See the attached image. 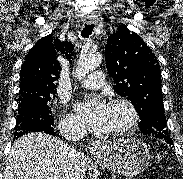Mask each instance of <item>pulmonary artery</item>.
I'll use <instances>...</instances> for the list:
<instances>
[{"instance_id": "e3ab8cb5", "label": "pulmonary artery", "mask_w": 183, "mask_h": 179, "mask_svg": "<svg viewBox=\"0 0 183 179\" xmlns=\"http://www.w3.org/2000/svg\"><path fill=\"white\" fill-rule=\"evenodd\" d=\"M104 78L103 72H93L81 82V87L86 89H98L104 84Z\"/></svg>"}]
</instances>
